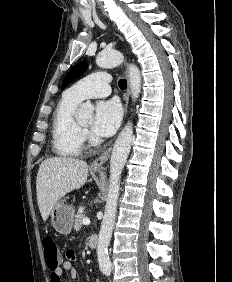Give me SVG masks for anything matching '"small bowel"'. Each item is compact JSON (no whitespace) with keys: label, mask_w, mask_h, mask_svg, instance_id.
<instances>
[{"label":"small bowel","mask_w":232,"mask_h":282,"mask_svg":"<svg viewBox=\"0 0 232 282\" xmlns=\"http://www.w3.org/2000/svg\"><path fill=\"white\" fill-rule=\"evenodd\" d=\"M76 254L73 250H67L66 261L62 263L56 270L51 271L50 281L51 282H64L63 273L68 272L71 279H76L78 276L77 269L74 266Z\"/></svg>","instance_id":"c3829d8e"}]
</instances>
